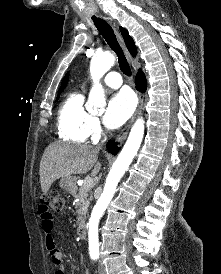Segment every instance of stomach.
I'll use <instances>...</instances> for the list:
<instances>
[{
  "instance_id": "obj_1",
  "label": "stomach",
  "mask_w": 221,
  "mask_h": 274,
  "mask_svg": "<svg viewBox=\"0 0 221 274\" xmlns=\"http://www.w3.org/2000/svg\"><path fill=\"white\" fill-rule=\"evenodd\" d=\"M60 187L67 193L73 194L76 191V178L73 176L64 177L60 180Z\"/></svg>"
}]
</instances>
